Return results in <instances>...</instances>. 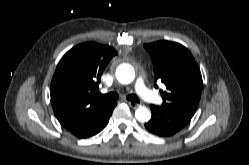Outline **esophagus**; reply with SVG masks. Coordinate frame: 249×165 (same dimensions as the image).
Returning <instances> with one entry per match:
<instances>
[{
  "label": "esophagus",
  "mask_w": 249,
  "mask_h": 165,
  "mask_svg": "<svg viewBox=\"0 0 249 165\" xmlns=\"http://www.w3.org/2000/svg\"><path fill=\"white\" fill-rule=\"evenodd\" d=\"M127 103H128V105H129L131 108H133V109H136V108L139 106L138 103L133 102V101H127Z\"/></svg>",
  "instance_id": "1"
}]
</instances>
